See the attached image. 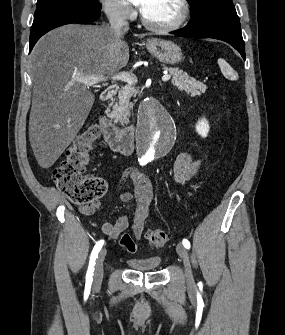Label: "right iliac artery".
I'll return each mask as SVG.
<instances>
[{"label": "right iliac artery", "instance_id": "obj_1", "mask_svg": "<svg viewBox=\"0 0 285 335\" xmlns=\"http://www.w3.org/2000/svg\"><path fill=\"white\" fill-rule=\"evenodd\" d=\"M146 163H141V165H145ZM104 244V240H100L96 243V245L94 246L91 256H90V262H89V267H88V271L86 274V281L87 282H91L93 280V272H94V266H95V260L98 257V253L101 250L102 246Z\"/></svg>", "mask_w": 285, "mask_h": 335}]
</instances>
